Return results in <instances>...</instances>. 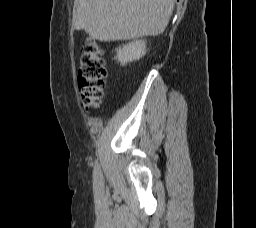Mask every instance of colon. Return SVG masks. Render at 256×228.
Here are the masks:
<instances>
[{"mask_svg": "<svg viewBox=\"0 0 256 228\" xmlns=\"http://www.w3.org/2000/svg\"><path fill=\"white\" fill-rule=\"evenodd\" d=\"M107 71L102 50L94 40H87L81 52L78 88L86 109L97 108L104 94Z\"/></svg>", "mask_w": 256, "mask_h": 228, "instance_id": "5ec220e1", "label": "colon"}]
</instances>
